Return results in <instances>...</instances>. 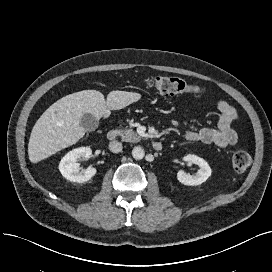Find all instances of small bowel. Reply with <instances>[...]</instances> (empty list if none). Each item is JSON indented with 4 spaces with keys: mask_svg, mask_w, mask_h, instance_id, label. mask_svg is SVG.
Returning <instances> with one entry per match:
<instances>
[{
    "mask_svg": "<svg viewBox=\"0 0 272 272\" xmlns=\"http://www.w3.org/2000/svg\"><path fill=\"white\" fill-rule=\"evenodd\" d=\"M217 108L220 111L217 128L204 127L200 130H194L186 121L183 122L186 140L213 144L220 148L232 146L237 143V132L231 127L232 123L238 118L236 109L224 100L217 102ZM188 111V107H184V116L188 114Z\"/></svg>",
    "mask_w": 272,
    "mask_h": 272,
    "instance_id": "obj_1",
    "label": "small bowel"
}]
</instances>
